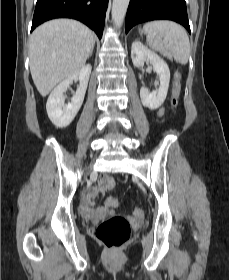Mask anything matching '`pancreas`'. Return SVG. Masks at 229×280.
<instances>
[{
    "instance_id": "cf45deb5",
    "label": "pancreas",
    "mask_w": 229,
    "mask_h": 280,
    "mask_svg": "<svg viewBox=\"0 0 229 280\" xmlns=\"http://www.w3.org/2000/svg\"><path fill=\"white\" fill-rule=\"evenodd\" d=\"M165 56H167L169 59H172L171 56L169 54H165Z\"/></svg>"
}]
</instances>
